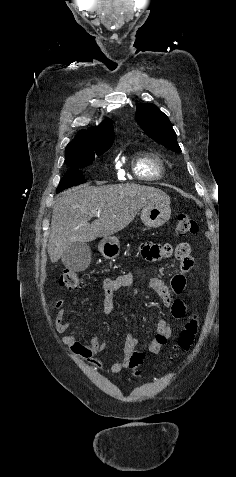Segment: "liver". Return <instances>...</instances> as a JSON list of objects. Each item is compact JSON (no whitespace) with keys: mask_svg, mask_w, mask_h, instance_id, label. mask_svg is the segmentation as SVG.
I'll return each mask as SVG.
<instances>
[{"mask_svg":"<svg viewBox=\"0 0 236 477\" xmlns=\"http://www.w3.org/2000/svg\"><path fill=\"white\" fill-rule=\"evenodd\" d=\"M170 204V197L150 186L83 185L64 191L56 200L51 220L48 255L56 263L74 242H91L127 227L138 211L151 203ZM97 219L89 224V216Z\"/></svg>","mask_w":236,"mask_h":477,"instance_id":"1","label":"liver"}]
</instances>
